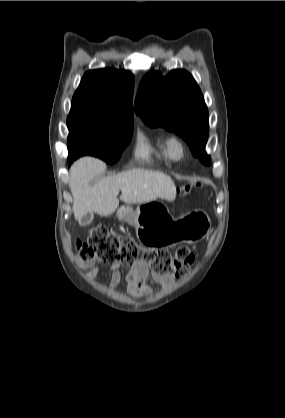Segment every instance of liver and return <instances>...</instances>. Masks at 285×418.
Here are the masks:
<instances>
[{
    "instance_id": "6515ba94",
    "label": "liver",
    "mask_w": 285,
    "mask_h": 418,
    "mask_svg": "<svg viewBox=\"0 0 285 418\" xmlns=\"http://www.w3.org/2000/svg\"><path fill=\"white\" fill-rule=\"evenodd\" d=\"M106 170V164L96 158L83 157L70 168L69 186L73 196L74 217L80 222L88 212L108 216L119 206L120 199L127 204H142L157 198L173 201L176 187L170 176L146 169H131L105 177L90 186V181Z\"/></svg>"
}]
</instances>
